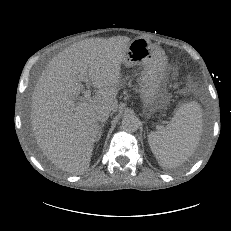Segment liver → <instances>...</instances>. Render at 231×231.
<instances>
[{
    "instance_id": "liver-1",
    "label": "liver",
    "mask_w": 231,
    "mask_h": 231,
    "mask_svg": "<svg viewBox=\"0 0 231 231\" xmlns=\"http://www.w3.org/2000/svg\"><path fill=\"white\" fill-rule=\"evenodd\" d=\"M130 38L115 36L77 42L54 57L42 72L32 95L31 126L43 154L58 168L73 174L86 171L99 132L97 111H117L121 64ZM84 72L95 95L81 108Z\"/></svg>"
}]
</instances>
